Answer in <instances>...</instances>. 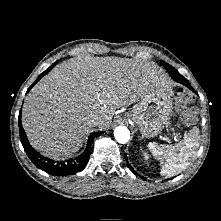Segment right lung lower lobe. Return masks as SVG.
Segmentation results:
<instances>
[{"label":"right lung lower lobe","instance_id":"obj_1","mask_svg":"<svg viewBox=\"0 0 221 221\" xmlns=\"http://www.w3.org/2000/svg\"><path fill=\"white\" fill-rule=\"evenodd\" d=\"M54 64V63H53ZM53 64L45 70L43 73H41L36 81L29 87L27 92L30 91V89L44 76L46 75L54 66ZM18 125H19V132H20V141L23 145V148L29 157V159L34 163L36 167L39 169H42L43 171L47 172L48 174L55 175V176H66L69 174H73L76 172H79L85 168L87 165V162L90 157V146L98 135L104 133V132H93L89 135L87 147L85 151L79 155L78 157L69 160L68 162L62 163V162H56L52 159H49L47 157L42 156L40 153L34 150L32 146L30 145L26 133L22 127L21 123V111L19 112L18 117Z\"/></svg>","mask_w":221,"mask_h":221}]
</instances>
